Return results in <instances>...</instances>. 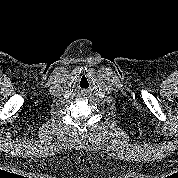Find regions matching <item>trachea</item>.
Masks as SVG:
<instances>
[{"label":"trachea","instance_id":"trachea-1","mask_svg":"<svg viewBox=\"0 0 178 178\" xmlns=\"http://www.w3.org/2000/svg\"><path fill=\"white\" fill-rule=\"evenodd\" d=\"M78 86L82 90H87L89 88V81H88V79L85 76H83L79 80Z\"/></svg>","mask_w":178,"mask_h":178}]
</instances>
